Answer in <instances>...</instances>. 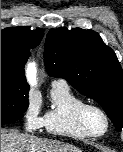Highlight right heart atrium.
<instances>
[{
	"instance_id": "right-heart-atrium-1",
	"label": "right heart atrium",
	"mask_w": 123,
	"mask_h": 152,
	"mask_svg": "<svg viewBox=\"0 0 123 152\" xmlns=\"http://www.w3.org/2000/svg\"><path fill=\"white\" fill-rule=\"evenodd\" d=\"M23 123L27 130L33 131L42 127L40 102L35 97H29L23 110Z\"/></svg>"
}]
</instances>
